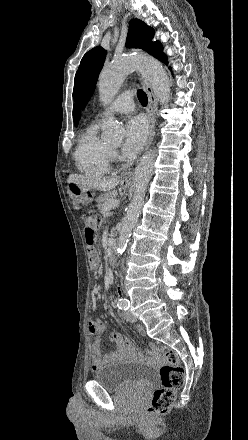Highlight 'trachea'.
<instances>
[{
  "instance_id": "trachea-1",
  "label": "trachea",
  "mask_w": 248,
  "mask_h": 440,
  "mask_svg": "<svg viewBox=\"0 0 248 440\" xmlns=\"http://www.w3.org/2000/svg\"><path fill=\"white\" fill-rule=\"evenodd\" d=\"M137 96H138V100L140 101L142 106H146L148 103V98H147L146 93L143 90H138Z\"/></svg>"
}]
</instances>
